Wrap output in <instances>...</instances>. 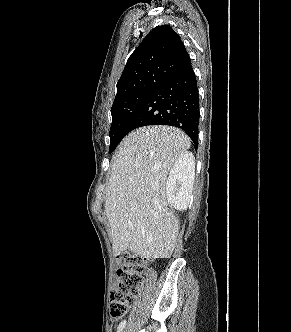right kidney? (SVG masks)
<instances>
[{
	"instance_id": "1",
	"label": "right kidney",
	"mask_w": 291,
	"mask_h": 332,
	"mask_svg": "<svg viewBox=\"0 0 291 332\" xmlns=\"http://www.w3.org/2000/svg\"><path fill=\"white\" fill-rule=\"evenodd\" d=\"M195 177V159L186 152L178 158L166 183L167 202L177 210L188 207Z\"/></svg>"
}]
</instances>
